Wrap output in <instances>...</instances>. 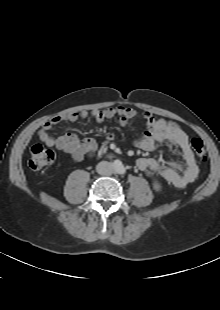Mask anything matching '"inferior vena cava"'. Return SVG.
Here are the masks:
<instances>
[{"instance_id":"obj_1","label":"inferior vena cava","mask_w":220,"mask_h":310,"mask_svg":"<svg viewBox=\"0 0 220 310\" xmlns=\"http://www.w3.org/2000/svg\"><path fill=\"white\" fill-rule=\"evenodd\" d=\"M96 170L101 175H110L113 172V166L110 162L101 161L97 164Z\"/></svg>"}]
</instances>
